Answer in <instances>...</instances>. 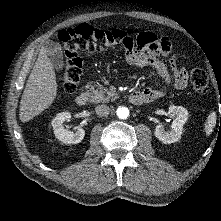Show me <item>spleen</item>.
<instances>
[{"label":"spleen","mask_w":221,"mask_h":221,"mask_svg":"<svg viewBox=\"0 0 221 221\" xmlns=\"http://www.w3.org/2000/svg\"><path fill=\"white\" fill-rule=\"evenodd\" d=\"M216 112L210 113L205 123V132L207 135H210L213 131L214 126L216 125Z\"/></svg>","instance_id":"1"}]
</instances>
